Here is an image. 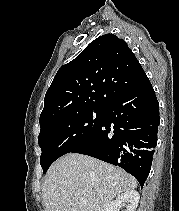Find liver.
Returning <instances> with one entry per match:
<instances>
[{"instance_id": "6515ba94", "label": "liver", "mask_w": 179, "mask_h": 211, "mask_svg": "<svg viewBox=\"0 0 179 211\" xmlns=\"http://www.w3.org/2000/svg\"><path fill=\"white\" fill-rule=\"evenodd\" d=\"M136 187L137 180L120 168L69 153L50 166L42 198L45 211H103L114 197Z\"/></svg>"}]
</instances>
